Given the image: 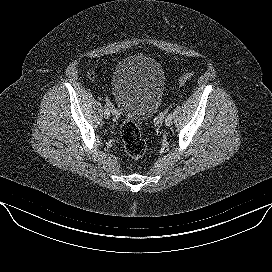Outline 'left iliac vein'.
Listing matches in <instances>:
<instances>
[{
  "mask_svg": "<svg viewBox=\"0 0 272 272\" xmlns=\"http://www.w3.org/2000/svg\"><path fill=\"white\" fill-rule=\"evenodd\" d=\"M165 124L167 126H171L172 125V118L171 119H168L167 117L165 118Z\"/></svg>",
  "mask_w": 272,
  "mask_h": 272,
  "instance_id": "1",
  "label": "left iliac vein"
}]
</instances>
